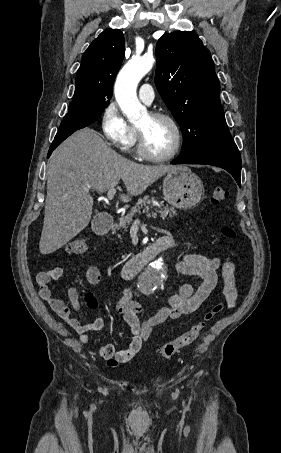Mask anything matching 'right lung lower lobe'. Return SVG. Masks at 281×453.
Listing matches in <instances>:
<instances>
[{"label": "right lung lower lobe", "mask_w": 281, "mask_h": 453, "mask_svg": "<svg viewBox=\"0 0 281 453\" xmlns=\"http://www.w3.org/2000/svg\"><path fill=\"white\" fill-rule=\"evenodd\" d=\"M104 108L93 105H81L78 107H68V113L61 122L57 135L52 142L48 151L47 158L50 157L52 151L61 144L68 136L76 130L88 126L94 122L103 112Z\"/></svg>", "instance_id": "1"}]
</instances>
